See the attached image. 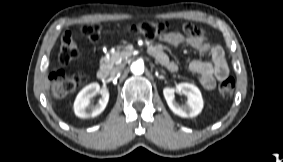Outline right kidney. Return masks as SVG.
<instances>
[{
	"label": "right kidney",
	"mask_w": 283,
	"mask_h": 162,
	"mask_svg": "<svg viewBox=\"0 0 283 162\" xmlns=\"http://www.w3.org/2000/svg\"><path fill=\"white\" fill-rule=\"evenodd\" d=\"M97 93H101L102 97L99 99L96 105H91L90 99ZM108 100V90H101L98 83H91L84 87L77 95L74 102V112L80 118L95 117L104 111Z\"/></svg>",
	"instance_id": "right-kidney-1"
}]
</instances>
